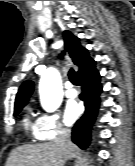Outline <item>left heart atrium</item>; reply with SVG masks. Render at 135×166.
Here are the masks:
<instances>
[{
    "instance_id": "39dd6f15",
    "label": "left heart atrium",
    "mask_w": 135,
    "mask_h": 166,
    "mask_svg": "<svg viewBox=\"0 0 135 166\" xmlns=\"http://www.w3.org/2000/svg\"><path fill=\"white\" fill-rule=\"evenodd\" d=\"M79 115V109L76 104H69L65 111V121L72 124Z\"/></svg>"
}]
</instances>
